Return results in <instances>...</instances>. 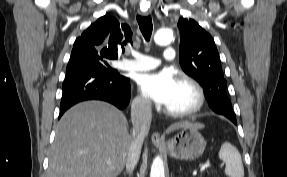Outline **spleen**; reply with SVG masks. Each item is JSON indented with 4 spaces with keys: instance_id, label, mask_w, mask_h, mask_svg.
<instances>
[{
    "instance_id": "spleen-1",
    "label": "spleen",
    "mask_w": 287,
    "mask_h": 177,
    "mask_svg": "<svg viewBox=\"0 0 287 177\" xmlns=\"http://www.w3.org/2000/svg\"><path fill=\"white\" fill-rule=\"evenodd\" d=\"M219 158L225 162V174L229 177H244V167L239 151L229 142L222 144Z\"/></svg>"
}]
</instances>
